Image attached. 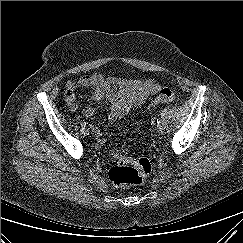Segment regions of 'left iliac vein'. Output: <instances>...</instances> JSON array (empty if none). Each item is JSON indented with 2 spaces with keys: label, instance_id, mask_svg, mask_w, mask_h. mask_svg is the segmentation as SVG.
I'll list each match as a JSON object with an SVG mask.
<instances>
[{
  "label": "left iliac vein",
  "instance_id": "left-iliac-vein-1",
  "mask_svg": "<svg viewBox=\"0 0 243 243\" xmlns=\"http://www.w3.org/2000/svg\"><path fill=\"white\" fill-rule=\"evenodd\" d=\"M157 132L162 133L164 131V127L160 124L157 125L156 127Z\"/></svg>",
  "mask_w": 243,
  "mask_h": 243
}]
</instances>
